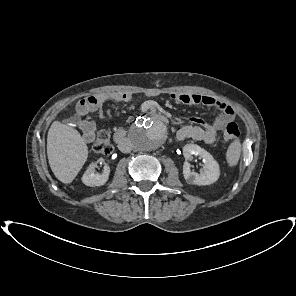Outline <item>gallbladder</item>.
I'll return each instance as SVG.
<instances>
[{
  "label": "gallbladder",
  "instance_id": "1",
  "mask_svg": "<svg viewBox=\"0 0 296 296\" xmlns=\"http://www.w3.org/2000/svg\"><path fill=\"white\" fill-rule=\"evenodd\" d=\"M63 122L66 123V124H75V125H77L80 122V117L79 116H73V117H71L69 119H65Z\"/></svg>",
  "mask_w": 296,
  "mask_h": 296
}]
</instances>
